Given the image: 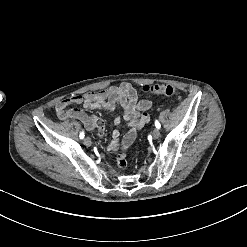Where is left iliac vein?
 Here are the masks:
<instances>
[{
    "label": "left iliac vein",
    "instance_id": "1",
    "mask_svg": "<svg viewBox=\"0 0 247 247\" xmlns=\"http://www.w3.org/2000/svg\"><path fill=\"white\" fill-rule=\"evenodd\" d=\"M152 137L154 139H158L160 137V130L158 128H155L152 132Z\"/></svg>",
    "mask_w": 247,
    "mask_h": 247
}]
</instances>
